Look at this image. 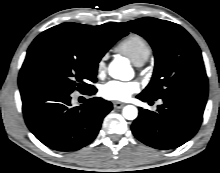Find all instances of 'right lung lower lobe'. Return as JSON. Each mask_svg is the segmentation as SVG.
Listing matches in <instances>:
<instances>
[{
  "label": "right lung lower lobe",
  "instance_id": "right-lung-lower-lobe-1",
  "mask_svg": "<svg viewBox=\"0 0 220 173\" xmlns=\"http://www.w3.org/2000/svg\"><path fill=\"white\" fill-rule=\"evenodd\" d=\"M84 92L90 95L96 88ZM20 93L28 128L44 145L56 151H76L88 145L97 136L103 118L112 110L111 102L102 98L72 107V92L49 86H26Z\"/></svg>",
  "mask_w": 220,
  "mask_h": 173
}]
</instances>
